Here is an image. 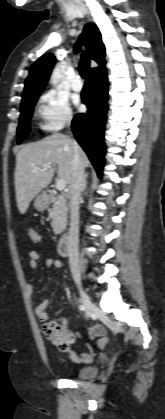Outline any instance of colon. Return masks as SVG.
<instances>
[{
	"mask_svg": "<svg viewBox=\"0 0 165 419\" xmlns=\"http://www.w3.org/2000/svg\"><path fill=\"white\" fill-rule=\"evenodd\" d=\"M28 236L32 242L39 241L38 233L36 232V230L32 228L28 229ZM43 332L48 338L59 343L66 342L70 336L69 328L63 327L62 325L56 322L45 324L43 326Z\"/></svg>",
	"mask_w": 165,
	"mask_h": 419,
	"instance_id": "5ec220e1",
	"label": "colon"
}]
</instances>
